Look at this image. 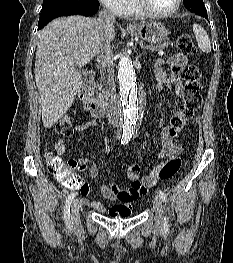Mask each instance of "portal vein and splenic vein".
Masks as SVG:
<instances>
[{
	"label": "portal vein and splenic vein",
	"instance_id": "obj_1",
	"mask_svg": "<svg viewBox=\"0 0 233 263\" xmlns=\"http://www.w3.org/2000/svg\"><path fill=\"white\" fill-rule=\"evenodd\" d=\"M158 55L159 56H163L164 55V52L162 51V50H160L159 52H158ZM87 63V60L86 59H83V60H79L78 62H77V65L78 66H83V65H85Z\"/></svg>",
	"mask_w": 233,
	"mask_h": 263
}]
</instances>
